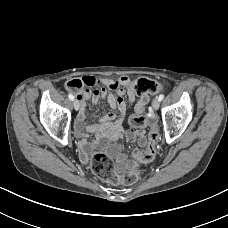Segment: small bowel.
I'll use <instances>...</instances> for the list:
<instances>
[{
	"label": "small bowel",
	"instance_id": "1",
	"mask_svg": "<svg viewBox=\"0 0 228 228\" xmlns=\"http://www.w3.org/2000/svg\"><path fill=\"white\" fill-rule=\"evenodd\" d=\"M84 85L87 87H99L93 91L83 89L77 93V98L81 103L80 111L75 121L76 135L80 138L79 145L86 152L90 148V144L83 137V131L87 130L96 135V144L100 147H106L109 154H111L117 162L120 169L128 165L126 156L121 152L118 145H108L109 141L117 140L125 135L130 142L137 141L142 147L146 144L145 130L143 129H129L126 130L124 119L127 112L128 101L133 103L136 99V92L132 81L126 77L117 79H103L91 76L82 78ZM92 99L93 104H97L100 99H106L112 110L118 109L119 115L116 116L113 112L108 113L102 117L98 122L91 125L85 123V102L88 98ZM148 103V97H141L134 106V114H142ZM133 165V164H130Z\"/></svg>",
	"mask_w": 228,
	"mask_h": 228
}]
</instances>
